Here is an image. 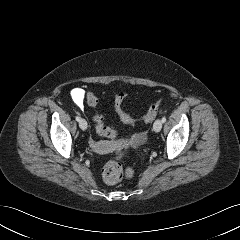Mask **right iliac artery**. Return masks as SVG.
I'll return each instance as SVG.
<instances>
[{
  "mask_svg": "<svg viewBox=\"0 0 240 240\" xmlns=\"http://www.w3.org/2000/svg\"><path fill=\"white\" fill-rule=\"evenodd\" d=\"M75 119H76V121H78V122L80 121V117H79V116H76Z\"/></svg>",
  "mask_w": 240,
  "mask_h": 240,
  "instance_id": "obj_1",
  "label": "right iliac artery"
}]
</instances>
